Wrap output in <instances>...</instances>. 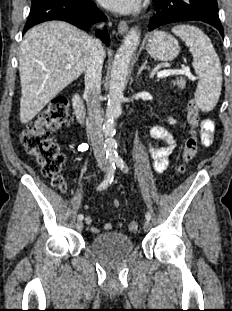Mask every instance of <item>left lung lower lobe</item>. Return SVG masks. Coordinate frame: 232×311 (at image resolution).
Here are the masks:
<instances>
[{
  "label": "left lung lower lobe",
  "instance_id": "left-lung-lower-lobe-1",
  "mask_svg": "<svg viewBox=\"0 0 232 311\" xmlns=\"http://www.w3.org/2000/svg\"><path fill=\"white\" fill-rule=\"evenodd\" d=\"M155 12L149 31L173 22L197 20L216 27L224 36L216 0H153Z\"/></svg>",
  "mask_w": 232,
  "mask_h": 311
}]
</instances>
